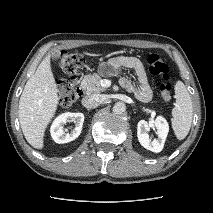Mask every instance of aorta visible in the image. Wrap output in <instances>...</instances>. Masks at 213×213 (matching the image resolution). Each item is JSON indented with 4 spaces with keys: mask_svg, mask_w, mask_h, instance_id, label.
Here are the masks:
<instances>
[{
    "mask_svg": "<svg viewBox=\"0 0 213 213\" xmlns=\"http://www.w3.org/2000/svg\"><path fill=\"white\" fill-rule=\"evenodd\" d=\"M126 111V105L123 102H117L113 106V112L115 114H123Z\"/></svg>",
    "mask_w": 213,
    "mask_h": 213,
    "instance_id": "762f6f07",
    "label": "aorta"
}]
</instances>
